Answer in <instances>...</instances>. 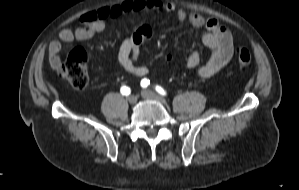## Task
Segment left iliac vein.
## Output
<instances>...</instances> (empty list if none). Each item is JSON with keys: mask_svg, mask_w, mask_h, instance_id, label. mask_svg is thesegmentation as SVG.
Wrapping results in <instances>:
<instances>
[{"mask_svg": "<svg viewBox=\"0 0 299 190\" xmlns=\"http://www.w3.org/2000/svg\"><path fill=\"white\" fill-rule=\"evenodd\" d=\"M142 97L146 98V99H152V100H156L162 104H167L166 100L163 99L161 96H159L158 94L150 91V90H143L141 92Z\"/></svg>", "mask_w": 299, "mask_h": 190, "instance_id": "4c4485c4", "label": "left iliac vein"}]
</instances>
